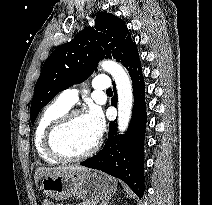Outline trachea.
<instances>
[{"instance_id":"obj_1","label":"trachea","mask_w":212,"mask_h":205,"mask_svg":"<svg viewBox=\"0 0 212 205\" xmlns=\"http://www.w3.org/2000/svg\"><path fill=\"white\" fill-rule=\"evenodd\" d=\"M106 93H113L112 89L106 90Z\"/></svg>"}]
</instances>
